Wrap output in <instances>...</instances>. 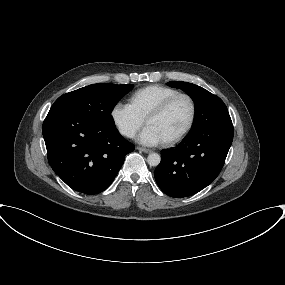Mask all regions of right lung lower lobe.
Returning a JSON list of instances; mask_svg holds the SVG:
<instances>
[{"instance_id":"98d812e1","label":"right lung lower lobe","mask_w":285,"mask_h":285,"mask_svg":"<svg viewBox=\"0 0 285 285\" xmlns=\"http://www.w3.org/2000/svg\"><path fill=\"white\" fill-rule=\"evenodd\" d=\"M42 132L53 171L69 187L89 195L104 191L134 150L115 127L62 107H51Z\"/></svg>"}]
</instances>
